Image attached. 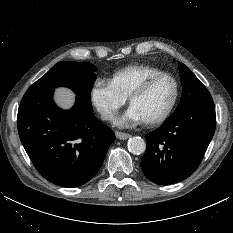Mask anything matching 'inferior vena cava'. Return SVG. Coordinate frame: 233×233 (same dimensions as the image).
<instances>
[{"label": "inferior vena cava", "instance_id": "1", "mask_svg": "<svg viewBox=\"0 0 233 233\" xmlns=\"http://www.w3.org/2000/svg\"><path fill=\"white\" fill-rule=\"evenodd\" d=\"M103 119H105V120L109 119V120H113L114 121L115 120V116L112 113H105L103 115Z\"/></svg>", "mask_w": 233, "mask_h": 233}]
</instances>
